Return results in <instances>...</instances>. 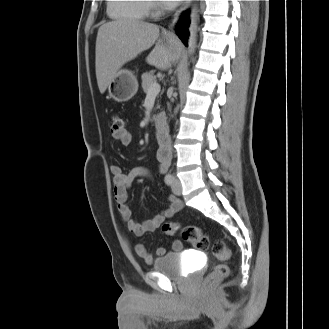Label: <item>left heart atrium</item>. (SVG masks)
<instances>
[{
    "label": "left heart atrium",
    "mask_w": 329,
    "mask_h": 329,
    "mask_svg": "<svg viewBox=\"0 0 329 329\" xmlns=\"http://www.w3.org/2000/svg\"><path fill=\"white\" fill-rule=\"evenodd\" d=\"M168 5L174 6L177 5L180 0H165Z\"/></svg>",
    "instance_id": "1"
}]
</instances>
